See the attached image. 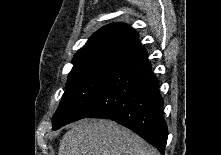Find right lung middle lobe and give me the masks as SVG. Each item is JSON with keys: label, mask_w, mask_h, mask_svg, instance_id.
Instances as JSON below:
<instances>
[{"label": "right lung middle lobe", "mask_w": 221, "mask_h": 155, "mask_svg": "<svg viewBox=\"0 0 221 155\" xmlns=\"http://www.w3.org/2000/svg\"><path fill=\"white\" fill-rule=\"evenodd\" d=\"M123 58L103 54L72 62L66 91L52 120L54 130L82 118L113 67Z\"/></svg>", "instance_id": "right-lung-middle-lobe-1"}]
</instances>
